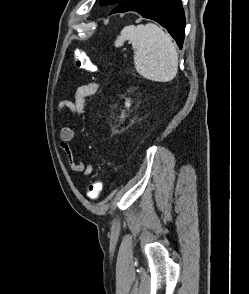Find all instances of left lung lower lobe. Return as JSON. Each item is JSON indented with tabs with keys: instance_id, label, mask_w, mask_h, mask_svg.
Segmentation results:
<instances>
[{
	"instance_id": "0a47b994",
	"label": "left lung lower lobe",
	"mask_w": 249,
	"mask_h": 294,
	"mask_svg": "<svg viewBox=\"0 0 249 294\" xmlns=\"http://www.w3.org/2000/svg\"><path fill=\"white\" fill-rule=\"evenodd\" d=\"M136 11L165 27L182 48L185 35V17L181 0H124L110 14Z\"/></svg>"
}]
</instances>
